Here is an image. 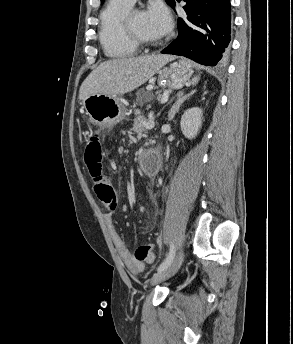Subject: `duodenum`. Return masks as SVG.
I'll return each mask as SVG.
<instances>
[{"label":"duodenum","instance_id":"1","mask_svg":"<svg viewBox=\"0 0 293 344\" xmlns=\"http://www.w3.org/2000/svg\"><path fill=\"white\" fill-rule=\"evenodd\" d=\"M157 154H158V158L155 161V169L159 170L161 168V165H162V158H161L160 152H158V150H157ZM148 161H149V154L148 153L142 152V153L137 155V164L139 166L144 167Z\"/></svg>","mask_w":293,"mask_h":344}]
</instances>
